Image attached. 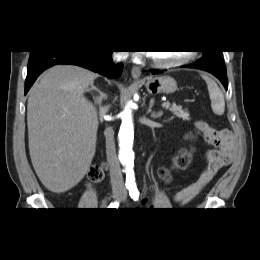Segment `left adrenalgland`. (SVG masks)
Returning <instances> with one entry per match:
<instances>
[{"label": "left adrenal gland", "instance_id": "1", "mask_svg": "<svg viewBox=\"0 0 260 260\" xmlns=\"http://www.w3.org/2000/svg\"><path fill=\"white\" fill-rule=\"evenodd\" d=\"M153 105H154V99L152 98V99L150 100L148 112L151 113V117H153V118H155V119H156V118H160V117L163 115V113H162V112H158V113L152 112V107H153Z\"/></svg>", "mask_w": 260, "mask_h": 260}]
</instances>
